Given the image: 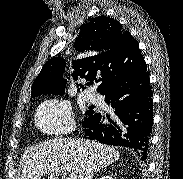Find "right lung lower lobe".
Segmentation results:
<instances>
[{"instance_id": "obj_1", "label": "right lung lower lobe", "mask_w": 183, "mask_h": 179, "mask_svg": "<svg viewBox=\"0 0 183 179\" xmlns=\"http://www.w3.org/2000/svg\"><path fill=\"white\" fill-rule=\"evenodd\" d=\"M151 88L144 62L136 72L100 92L115 109L114 115L93 113L82 121L83 134L100 143L131 148L146 163L153 124Z\"/></svg>"}]
</instances>
